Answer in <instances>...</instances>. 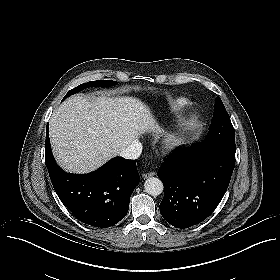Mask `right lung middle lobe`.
Wrapping results in <instances>:
<instances>
[{"label":"right lung middle lobe","instance_id":"dd1d6c3e","mask_svg":"<svg viewBox=\"0 0 280 280\" xmlns=\"http://www.w3.org/2000/svg\"><path fill=\"white\" fill-rule=\"evenodd\" d=\"M116 84L115 81H110V80H99V81H91V82H87V83H83L79 86H77L76 88L70 90L66 96L63 98L66 99L68 96L73 95L77 92H79L80 90H83L87 87H109Z\"/></svg>","mask_w":280,"mask_h":280}]
</instances>
